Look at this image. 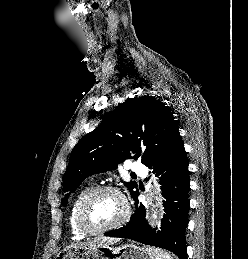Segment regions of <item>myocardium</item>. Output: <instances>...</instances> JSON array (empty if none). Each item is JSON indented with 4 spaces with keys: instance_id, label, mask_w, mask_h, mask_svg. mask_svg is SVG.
Here are the masks:
<instances>
[{
    "instance_id": "f54148a6",
    "label": "myocardium",
    "mask_w": 248,
    "mask_h": 259,
    "mask_svg": "<svg viewBox=\"0 0 248 259\" xmlns=\"http://www.w3.org/2000/svg\"><path fill=\"white\" fill-rule=\"evenodd\" d=\"M113 193L116 194L123 202L124 212L122 216L115 222L105 225L102 227H94L87 220V210L93 200L101 194ZM130 217V206L124 196V194L116 187L113 186H101L90 190L85 197L81 200L77 212H76V222L79 229L86 235H97L105 233L123 226Z\"/></svg>"
}]
</instances>
